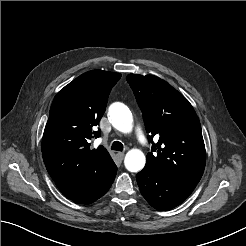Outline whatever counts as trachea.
<instances>
[{
  "instance_id": "trachea-1",
  "label": "trachea",
  "mask_w": 246,
  "mask_h": 246,
  "mask_svg": "<svg viewBox=\"0 0 246 246\" xmlns=\"http://www.w3.org/2000/svg\"><path fill=\"white\" fill-rule=\"evenodd\" d=\"M111 149L116 150V151H122L123 150V144L119 141H115V142H113Z\"/></svg>"
}]
</instances>
